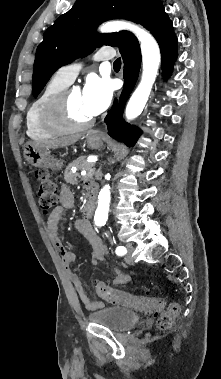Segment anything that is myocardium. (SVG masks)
Listing matches in <instances>:
<instances>
[{
	"label": "myocardium",
	"instance_id": "myocardium-1",
	"mask_svg": "<svg viewBox=\"0 0 221 379\" xmlns=\"http://www.w3.org/2000/svg\"><path fill=\"white\" fill-rule=\"evenodd\" d=\"M73 89L65 88L54 96L45 106L42 114L43 124L55 133H69L90 127L94 118L83 121H74L69 113V96Z\"/></svg>",
	"mask_w": 221,
	"mask_h": 379
}]
</instances>
